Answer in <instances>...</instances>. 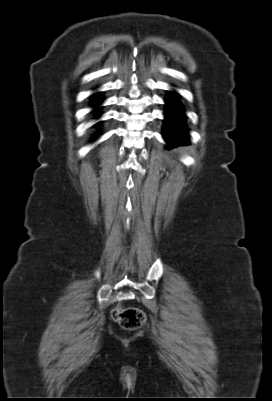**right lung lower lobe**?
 Here are the masks:
<instances>
[{
    "mask_svg": "<svg viewBox=\"0 0 272 401\" xmlns=\"http://www.w3.org/2000/svg\"><path fill=\"white\" fill-rule=\"evenodd\" d=\"M93 103H94L95 105H99V104L101 103V98H100L99 95H96V96L94 97Z\"/></svg>",
    "mask_w": 272,
    "mask_h": 401,
    "instance_id": "1",
    "label": "right lung lower lobe"
}]
</instances>
